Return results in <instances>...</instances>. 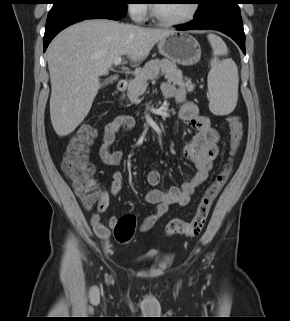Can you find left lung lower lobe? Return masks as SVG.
<instances>
[{
  "label": "left lung lower lobe",
  "mask_w": 290,
  "mask_h": 321,
  "mask_svg": "<svg viewBox=\"0 0 290 321\" xmlns=\"http://www.w3.org/2000/svg\"><path fill=\"white\" fill-rule=\"evenodd\" d=\"M240 0H221L205 13L186 25L175 26L179 30L212 29L231 37L245 54V34L241 18Z\"/></svg>",
  "instance_id": "obj_1"
}]
</instances>
